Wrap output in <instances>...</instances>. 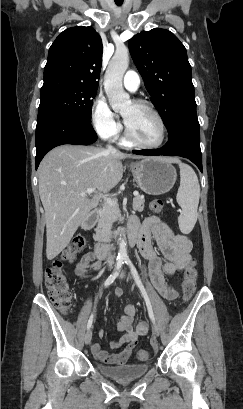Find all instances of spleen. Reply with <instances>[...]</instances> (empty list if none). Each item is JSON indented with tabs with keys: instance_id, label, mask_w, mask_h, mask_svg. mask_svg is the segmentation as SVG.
Wrapping results in <instances>:
<instances>
[{
	"instance_id": "1",
	"label": "spleen",
	"mask_w": 243,
	"mask_h": 409,
	"mask_svg": "<svg viewBox=\"0 0 243 409\" xmlns=\"http://www.w3.org/2000/svg\"><path fill=\"white\" fill-rule=\"evenodd\" d=\"M178 165L180 168V187L176 199L182 208L178 223L180 230L187 234L192 231L197 221L200 185L196 173L189 165L180 161H178Z\"/></svg>"
}]
</instances>
